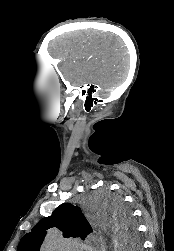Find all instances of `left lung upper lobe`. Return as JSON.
<instances>
[{
	"instance_id": "left-lung-upper-lobe-1",
	"label": "left lung upper lobe",
	"mask_w": 174,
	"mask_h": 251,
	"mask_svg": "<svg viewBox=\"0 0 174 251\" xmlns=\"http://www.w3.org/2000/svg\"><path fill=\"white\" fill-rule=\"evenodd\" d=\"M106 212L115 219L118 231L122 238L131 246H137V231L129 209L122 203L121 199L112 196L107 199ZM57 226L63 236L81 237L84 239L88 233L92 232L90 224L82 214L79 207L69 203H64L57 207L51 216L45 217L27 233L18 245V251H39L46 235V230Z\"/></svg>"
}]
</instances>
